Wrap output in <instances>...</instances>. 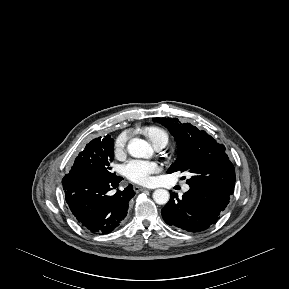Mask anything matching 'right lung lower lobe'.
I'll use <instances>...</instances> for the list:
<instances>
[{"label": "right lung lower lobe", "mask_w": 289, "mask_h": 289, "mask_svg": "<svg viewBox=\"0 0 289 289\" xmlns=\"http://www.w3.org/2000/svg\"><path fill=\"white\" fill-rule=\"evenodd\" d=\"M122 179L114 173L96 178L75 170L65 175L62 180L65 199L81 226L95 234H108L120 225L135 195L131 184L109 195Z\"/></svg>", "instance_id": "1"}]
</instances>
